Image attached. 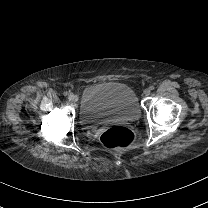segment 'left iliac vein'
I'll use <instances>...</instances> for the list:
<instances>
[{
	"mask_svg": "<svg viewBox=\"0 0 208 208\" xmlns=\"http://www.w3.org/2000/svg\"><path fill=\"white\" fill-rule=\"evenodd\" d=\"M150 93H151L150 89L147 88V89L144 90V94H145L146 96H149Z\"/></svg>",
	"mask_w": 208,
	"mask_h": 208,
	"instance_id": "obj_1",
	"label": "left iliac vein"
}]
</instances>
